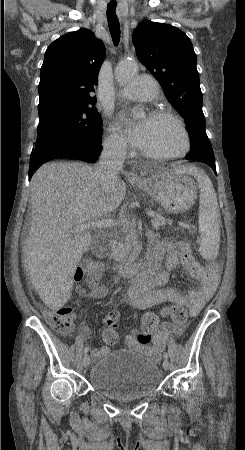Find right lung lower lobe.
Wrapping results in <instances>:
<instances>
[{"label": "right lung lower lobe", "mask_w": 245, "mask_h": 450, "mask_svg": "<svg viewBox=\"0 0 245 450\" xmlns=\"http://www.w3.org/2000/svg\"><path fill=\"white\" fill-rule=\"evenodd\" d=\"M102 146L99 144L93 147H75L61 149L55 152H40L37 154H31L30 167H29V180L33 173L39 168V166L46 161L61 157H71L80 159L86 162L96 161Z\"/></svg>", "instance_id": "right-lung-lower-lobe-1"}]
</instances>
